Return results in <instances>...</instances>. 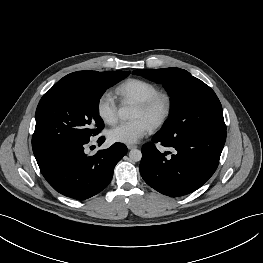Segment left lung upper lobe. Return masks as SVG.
<instances>
[{
    "mask_svg": "<svg viewBox=\"0 0 263 263\" xmlns=\"http://www.w3.org/2000/svg\"><path fill=\"white\" fill-rule=\"evenodd\" d=\"M133 74L162 83L171 96V116L159 134L178 136L226 131L222 106L215 92L186 70L138 69Z\"/></svg>",
    "mask_w": 263,
    "mask_h": 263,
    "instance_id": "1",
    "label": "left lung upper lobe"
}]
</instances>
